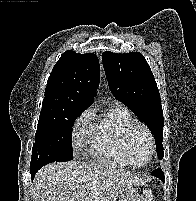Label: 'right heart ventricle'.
<instances>
[{"mask_svg":"<svg viewBox=\"0 0 196 201\" xmlns=\"http://www.w3.org/2000/svg\"><path fill=\"white\" fill-rule=\"evenodd\" d=\"M134 122L132 114L122 106L112 107L92 125L88 137L89 153L98 161L120 167L130 166L127 162L123 138L125 130Z\"/></svg>","mask_w":196,"mask_h":201,"instance_id":"e07e8e85","label":"right heart ventricle"}]
</instances>
